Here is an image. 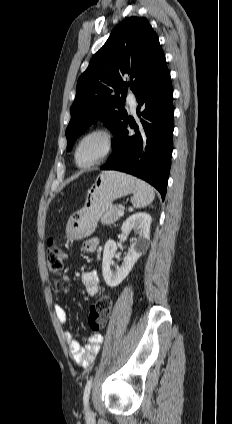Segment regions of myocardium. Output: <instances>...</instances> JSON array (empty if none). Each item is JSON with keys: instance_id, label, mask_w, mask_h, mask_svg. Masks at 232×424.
<instances>
[{"instance_id": "f54148a6", "label": "myocardium", "mask_w": 232, "mask_h": 424, "mask_svg": "<svg viewBox=\"0 0 232 424\" xmlns=\"http://www.w3.org/2000/svg\"><path fill=\"white\" fill-rule=\"evenodd\" d=\"M93 135H98L103 138V141H104L103 150L93 160L88 162H82L79 157L80 146L85 139ZM113 149H114L113 133L108 128L103 126L94 127L86 131L84 134H82L77 140L73 150L74 162L79 168H90L106 160L111 155Z\"/></svg>"}]
</instances>
